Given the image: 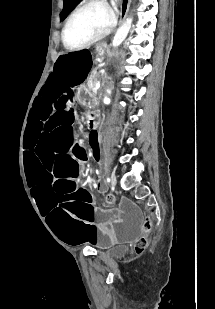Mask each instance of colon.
<instances>
[{"instance_id": "5ec220e1", "label": "colon", "mask_w": 215, "mask_h": 309, "mask_svg": "<svg viewBox=\"0 0 215 309\" xmlns=\"http://www.w3.org/2000/svg\"><path fill=\"white\" fill-rule=\"evenodd\" d=\"M108 203H113L114 202V198L112 196H108L107 198ZM144 227L146 229H150L151 228V222L149 219H146L144 222ZM147 247V239L145 237H142L139 241H137L135 243V249L139 252H142L146 249Z\"/></svg>"}]
</instances>
